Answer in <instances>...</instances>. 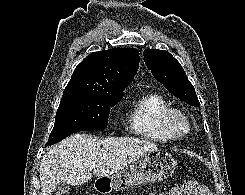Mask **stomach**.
<instances>
[{"label":"stomach","instance_id":"1","mask_svg":"<svg viewBox=\"0 0 245 195\" xmlns=\"http://www.w3.org/2000/svg\"><path fill=\"white\" fill-rule=\"evenodd\" d=\"M177 166L169 152L157 150L140 156L134 162L108 177L98 178L97 188L124 190L137 185L163 181L172 175ZM102 182H108L101 184Z\"/></svg>","mask_w":245,"mask_h":195}]
</instances>
